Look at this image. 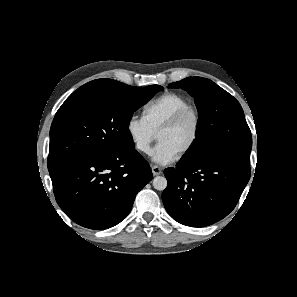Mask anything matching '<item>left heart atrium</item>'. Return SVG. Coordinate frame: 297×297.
Returning <instances> with one entry per match:
<instances>
[{"mask_svg":"<svg viewBox=\"0 0 297 297\" xmlns=\"http://www.w3.org/2000/svg\"><path fill=\"white\" fill-rule=\"evenodd\" d=\"M179 153L165 142H158L152 151V160L159 165L173 162Z\"/></svg>","mask_w":297,"mask_h":297,"instance_id":"39dd6f15","label":"left heart atrium"}]
</instances>
